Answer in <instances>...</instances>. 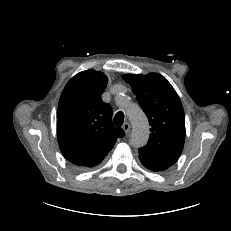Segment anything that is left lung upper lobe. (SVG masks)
I'll list each match as a JSON object with an SVG mask.
<instances>
[{
	"label": "left lung upper lobe",
	"instance_id": "obj_1",
	"mask_svg": "<svg viewBox=\"0 0 231 231\" xmlns=\"http://www.w3.org/2000/svg\"><path fill=\"white\" fill-rule=\"evenodd\" d=\"M133 93L149 119L151 134L140 158L150 164L170 167L180 157L185 141L184 110L174 88L160 74H125Z\"/></svg>",
	"mask_w": 231,
	"mask_h": 231
}]
</instances>
